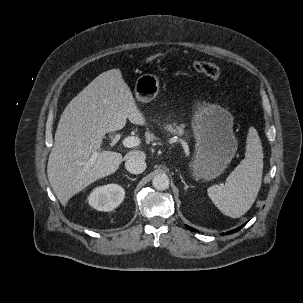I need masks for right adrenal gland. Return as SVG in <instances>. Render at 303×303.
<instances>
[{
    "mask_svg": "<svg viewBox=\"0 0 303 303\" xmlns=\"http://www.w3.org/2000/svg\"><path fill=\"white\" fill-rule=\"evenodd\" d=\"M129 180L131 181H135L136 179L135 178H130L129 176L125 175Z\"/></svg>",
    "mask_w": 303,
    "mask_h": 303,
    "instance_id": "obj_1",
    "label": "right adrenal gland"
}]
</instances>
